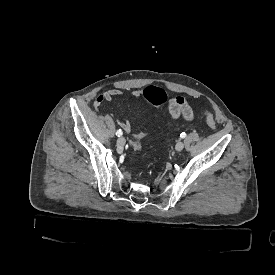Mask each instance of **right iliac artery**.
<instances>
[{
  "mask_svg": "<svg viewBox=\"0 0 275 275\" xmlns=\"http://www.w3.org/2000/svg\"><path fill=\"white\" fill-rule=\"evenodd\" d=\"M122 134H123V132L121 131V129L117 130L116 135H117L118 137H120Z\"/></svg>",
  "mask_w": 275,
  "mask_h": 275,
  "instance_id": "right-iliac-artery-1",
  "label": "right iliac artery"
}]
</instances>
